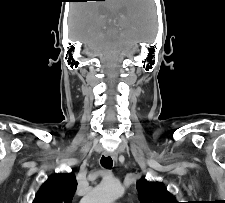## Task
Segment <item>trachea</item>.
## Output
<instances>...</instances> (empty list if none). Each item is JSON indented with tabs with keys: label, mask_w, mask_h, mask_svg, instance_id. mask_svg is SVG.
<instances>
[{
	"label": "trachea",
	"mask_w": 225,
	"mask_h": 203,
	"mask_svg": "<svg viewBox=\"0 0 225 203\" xmlns=\"http://www.w3.org/2000/svg\"><path fill=\"white\" fill-rule=\"evenodd\" d=\"M101 165L106 169H111L113 166L112 158L110 156H108V157L102 156Z\"/></svg>",
	"instance_id": "3493384b"
}]
</instances>
